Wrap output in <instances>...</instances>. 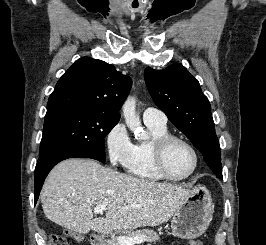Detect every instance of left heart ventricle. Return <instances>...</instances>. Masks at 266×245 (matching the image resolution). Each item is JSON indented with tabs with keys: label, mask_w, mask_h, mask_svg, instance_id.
Here are the masks:
<instances>
[{
	"label": "left heart ventricle",
	"mask_w": 266,
	"mask_h": 245,
	"mask_svg": "<svg viewBox=\"0 0 266 245\" xmlns=\"http://www.w3.org/2000/svg\"><path fill=\"white\" fill-rule=\"evenodd\" d=\"M195 162L192 150L183 142L173 141L165 152V166L175 178L187 176L193 169Z\"/></svg>",
	"instance_id": "left-heart-ventricle-1"
}]
</instances>
